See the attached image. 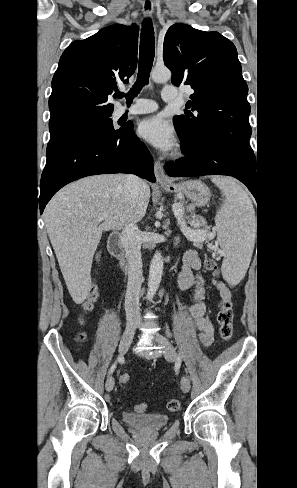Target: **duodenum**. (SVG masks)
I'll return each instance as SVG.
<instances>
[{
	"mask_svg": "<svg viewBox=\"0 0 297 488\" xmlns=\"http://www.w3.org/2000/svg\"><path fill=\"white\" fill-rule=\"evenodd\" d=\"M108 249L112 254V256H114L117 259L119 266L122 269L126 270L127 262L124 257V251L121 246V238L119 233L115 232L110 235L108 239Z\"/></svg>",
	"mask_w": 297,
	"mask_h": 488,
	"instance_id": "obj_1",
	"label": "duodenum"
}]
</instances>
